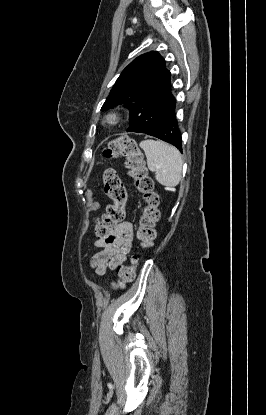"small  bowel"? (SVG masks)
Listing matches in <instances>:
<instances>
[{
	"label": "small bowel",
	"mask_w": 266,
	"mask_h": 415,
	"mask_svg": "<svg viewBox=\"0 0 266 415\" xmlns=\"http://www.w3.org/2000/svg\"><path fill=\"white\" fill-rule=\"evenodd\" d=\"M134 240V227L131 222L118 224L110 235L95 242L101 248L91 259V266L96 274L104 275L125 262Z\"/></svg>",
	"instance_id": "obj_1"
}]
</instances>
